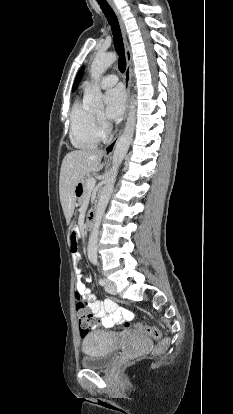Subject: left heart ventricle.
Wrapping results in <instances>:
<instances>
[{
	"label": "left heart ventricle",
	"instance_id": "1",
	"mask_svg": "<svg viewBox=\"0 0 233 414\" xmlns=\"http://www.w3.org/2000/svg\"><path fill=\"white\" fill-rule=\"evenodd\" d=\"M96 116L101 117L102 116V112L101 111L100 112H97L96 113Z\"/></svg>",
	"mask_w": 233,
	"mask_h": 414
}]
</instances>
